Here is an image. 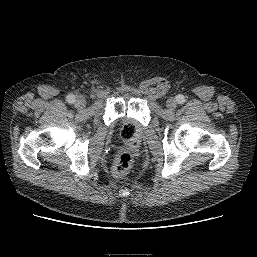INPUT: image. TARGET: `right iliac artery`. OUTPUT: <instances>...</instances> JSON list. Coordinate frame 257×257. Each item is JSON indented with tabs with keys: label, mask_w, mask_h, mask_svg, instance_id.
I'll list each match as a JSON object with an SVG mask.
<instances>
[{
	"label": "right iliac artery",
	"mask_w": 257,
	"mask_h": 257,
	"mask_svg": "<svg viewBox=\"0 0 257 257\" xmlns=\"http://www.w3.org/2000/svg\"><path fill=\"white\" fill-rule=\"evenodd\" d=\"M74 101H75V96L72 95V94H69V95L67 96V102H68V103H74Z\"/></svg>",
	"instance_id": "82829eb1"
}]
</instances>
